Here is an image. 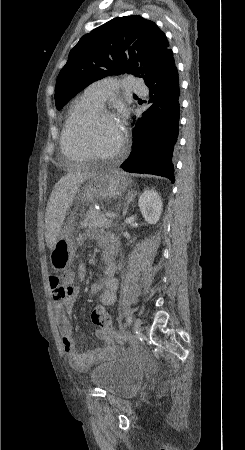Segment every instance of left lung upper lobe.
I'll use <instances>...</instances> for the list:
<instances>
[{
	"label": "left lung upper lobe",
	"mask_w": 245,
	"mask_h": 450,
	"mask_svg": "<svg viewBox=\"0 0 245 450\" xmlns=\"http://www.w3.org/2000/svg\"><path fill=\"white\" fill-rule=\"evenodd\" d=\"M173 57L165 34L138 15L118 17L81 37L55 87L57 109L94 81L132 74L145 83Z\"/></svg>",
	"instance_id": "5c2ea615"
}]
</instances>
